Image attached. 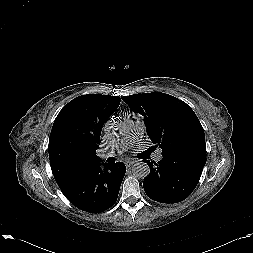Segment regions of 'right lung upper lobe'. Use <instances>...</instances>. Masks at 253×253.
<instances>
[{"instance_id": "cb5924a9", "label": "right lung upper lobe", "mask_w": 253, "mask_h": 253, "mask_svg": "<svg viewBox=\"0 0 253 253\" xmlns=\"http://www.w3.org/2000/svg\"><path fill=\"white\" fill-rule=\"evenodd\" d=\"M120 104L119 96L82 95L56 117L49 138L50 165L58 185L99 163L96 150L105 121Z\"/></svg>"}]
</instances>
